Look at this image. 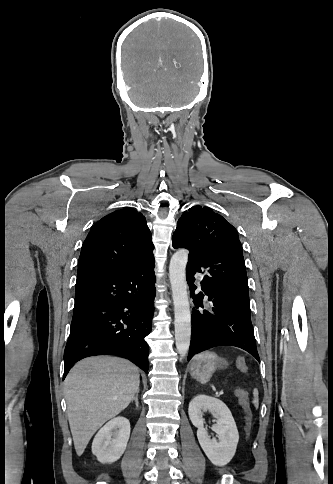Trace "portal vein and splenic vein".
Masks as SVG:
<instances>
[{"mask_svg":"<svg viewBox=\"0 0 333 484\" xmlns=\"http://www.w3.org/2000/svg\"><path fill=\"white\" fill-rule=\"evenodd\" d=\"M218 394H219V395H223V394H224L223 389H220V390L218 391Z\"/></svg>","mask_w":333,"mask_h":484,"instance_id":"1","label":"portal vein and splenic vein"}]
</instances>
